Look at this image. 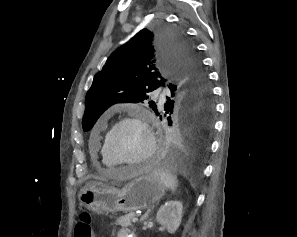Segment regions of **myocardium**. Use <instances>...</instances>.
Here are the masks:
<instances>
[{"label": "myocardium", "instance_id": "myocardium-1", "mask_svg": "<svg viewBox=\"0 0 297 237\" xmlns=\"http://www.w3.org/2000/svg\"><path fill=\"white\" fill-rule=\"evenodd\" d=\"M126 123H136L140 125L147 135L148 148L146 153L143 156H141L139 159H135V160L121 159L116 155V153L111 148L110 143H111V137L113 133L116 131V129H118L120 126ZM104 141H105V149L107 153L119 166L143 164L149 161L151 158H153L157 151V138H156L154 129L151 125L150 117L142 113L127 115L117 120L107 132Z\"/></svg>", "mask_w": 297, "mask_h": 237}]
</instances>
